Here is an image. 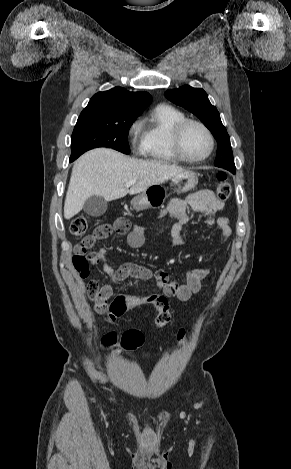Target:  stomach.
I'll use <instances>...</instances> for the list:
<instances>
[{"label":"stomach","mask_w":291,"mask_h":469,"mask_svg":"<svg viewBox=\"0 0 291 469\" xmlns=\"http://www.w3.org/2000/svg\"><path fill=\"white\" fill-rule=\"evenodd\" d=\"M198 183L197 174L193 171H183L171 178V187L174 193L180 194L192 190ZM168 194L165 187L161 184H154L145 191L134 197L131 206L137 210L147 208H158L163 205Z\"/></svg>","instance_id":"stomach-1"}]
</instances>
